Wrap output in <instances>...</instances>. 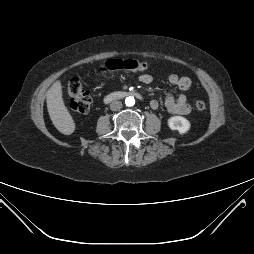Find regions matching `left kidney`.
I'll use <instances>...</instances> for the list:
<instances>
[{"mask_svg":"<svg viewBox=\"0 0 254 254\" xmlns=\"http://www.w3.org/2000/svg\"><path fill=\"white\" fill-rule=\"evenodd\" d=\"M168 126L171 130L184 134L190 129L191 124L182 116H173L168 119Z\"/></svg>","mask_w":254,"mask_h":254,"instance_id":"obj_1","label":"left kidney"}]
</instances>
